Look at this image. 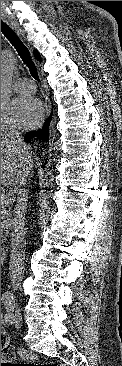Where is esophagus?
Here are the masks:
<instances>
[{
	"mask_svg": "<svg viewBox=\"0 0 122 366\" xmlns=\"http://www.w3.org/2000/svg\"><path fill=\"white\" fill-rule=\"evenodd\" d=\"M4 19H5V18H4ZM5 21H6L7 23H9V21H8V20H6V19H5ZM45 109H46V114H47V115H49V114H50V112H51V106H50L49 100H46Z\"/></svg>",
	"mask_w": 122,
	"mask_h": 366,
	"instance_id": "esophagus-1",
	"label": "esophagus"
}]
</instances>
